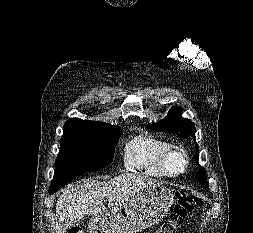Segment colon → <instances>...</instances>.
<instances>
[{
    "instance_id": "1",
    "label": "colon",
    "mask_w": 253,
    "mask_h": 233,
    "mask_svg": "<svg viewBox=\"0 0 253 233\" xmlns=\"http://www.w3.org/2000/svg\"><path fill=\"white\" fill-rule=\"evenodd\" d=\"M176 199L173 211L155 233H178L184 219L204 204L201 197L186 192H177ZM68 233H84V228L81 225H73Z\"/></svg>"
}]
</instances>
